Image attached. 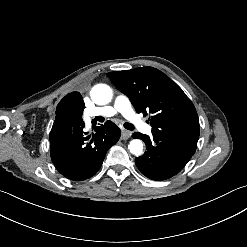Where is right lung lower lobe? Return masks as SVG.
I'll list each match as a JSON object with an SVG mask.
<instances>
[{
    "instance_id": "obj_1",
    "label": "right lung lower lobe",
    "mask_w": 247,
    "mask_h": 247,
    "mask_svg": "<svg viewBox=\"0 0 247 247\" xmlns=\"http://www.w3.org/2000/svg\"><path fill=\"white\" fill-rule=\"evenodd\" d=\"M84 122L52 128L50 153L56 169L74 181L88 179L100 169L108 149L120 138L111 121L97 127L92 135L83 131Z\"/></svg>"
}]
</instances>
